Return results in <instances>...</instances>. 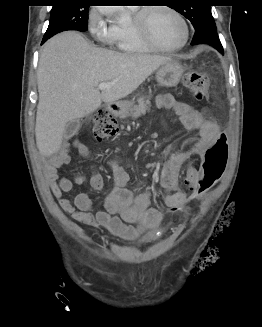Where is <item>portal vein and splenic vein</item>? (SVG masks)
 I'll use <instances>...</instances> for the list:
<instances>
[{"label":"portal vein and splenic vein","mask_w":262,"mask_h":327,"mask_svg":"<svg viewBox=\"0 0 262 327\" xmlns=\"http://www.w3.org/2000/svg\"><path fill=\"white\" fill-rule=\"evenodd\" d=\"M113 85V83H100L97 87L100 90H105L110 88Z\"/></svg>","instance_id":"1"}]
</instances>
